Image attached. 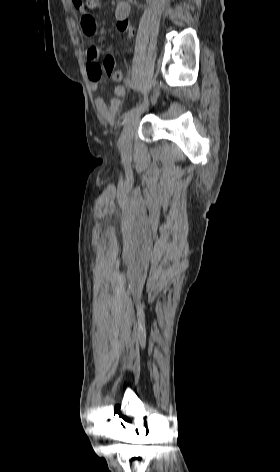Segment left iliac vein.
<instances>
[{"label": "left iliac vein", "instance_id": "1", "mask_svg": "<svg viewBox=\"0 0 280 472\" xmlns=\"http://www.w3.org/2000/svg\"><path fill=\"white\" fill-rule=\"evenodd\" d=\"M140 119V112L131 116L125 123L122 134L118 141V148L123 153L132 149L133 136Z\"/></svg>", "mask_w": 280, "mask_h": 472}]
</instances>
